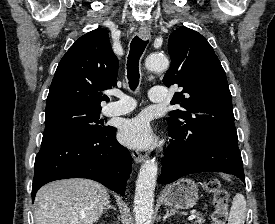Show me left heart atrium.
Here are the masks:
<instances>
[{
  "instance_id": "left-heart-atrium-1",
  "label": "left heart atrium",
  "mask_w": 275,
  "mask_h": 224,
  "mask_svg": "<svg viewBox=\"0 0 275 224\" xmlns=\"http://www.w3.org/2000/svg\"><path fill=\"white\" fill-rule=\"evenodd\" d=\"M119 137L130 147L144 148L153 142V136L146 117L138 116L122 123Z\"/></svg>"
}]
</instances>
